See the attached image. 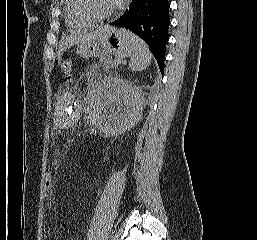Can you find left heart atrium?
Instances as JSON below:
<instances>
[{"instance_id":"left-heart-atrium-1","label":"left heart atrium","mask_w":257,"mask_h":240,"mask_svg":"<svg viewBox=\"0 0 257 240\" xmlns=\"http://www.w3.org/2000/svg\"><path fill=\"white\" fill-rule=\"evenodd\" d=\"M114 7H119L122 5L124 0H111Z\"/></svg>"}]
</instances>
